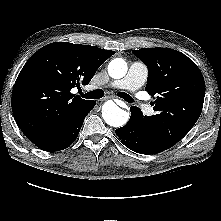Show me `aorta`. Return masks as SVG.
Returning <instances> with one entry per match:
<instances>
[{
	"label": "aorta",
	"instance_id": "aorta-1",
	"mask_svg": "<svg viewBox=\"0 0 221 221\" xmlns=\"http://www.w3.org/2000/svg\"><path fill=\"white\" fill-rule=\"evenodd\" d=\"M127 69V63L122 58H115L108 65L109 76L113 79L124 77ZM102 117L108 125L121 127L127 123L129 113L118 107L113 101H107L102 107Z\"/></svg>",
	"mask_w": 221,
	"mask_h": 221
}]
</instances>
